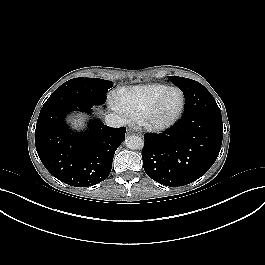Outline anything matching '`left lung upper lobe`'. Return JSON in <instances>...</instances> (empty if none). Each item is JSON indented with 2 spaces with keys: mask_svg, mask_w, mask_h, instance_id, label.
Segmentation results:
<instances>
[{
  "mask_svg": "<svg viewBox=\"0 0 265 265\" xmlns=\"http://www.w3.org/2000/svg\"><path fill=\"white\" fill-rule=\"evenodd\" d=\"M168 79L181 90L194 84L201 86L205 91V103L211 106H218L211 93L199 82L178 76H169Z\"/></svg>",
  "mask_w": 265,
  "mask_h": 265,
  "instance_id": "left-lung-upper-lobe-1",
  "label": "left lung upper lobe"
}]
</instances>
